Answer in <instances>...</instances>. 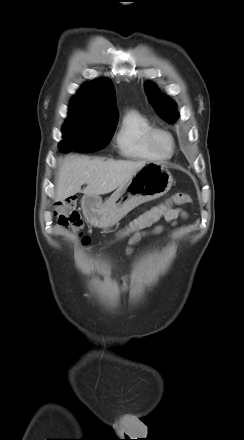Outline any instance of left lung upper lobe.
I'll return each mask as SVG.
<instances>
[{
  "label": "left lung upper lobe",
  "instance_id": "5c2ea615",
  "mask_svg": "<svg viewBox=\"0 0 244 440\" xmlns=\"http://www.w3.org/2000/svg\"><path fill=\"white\" fill-rule=\"evenodd\" d=\"M145 90L149 103L162 118L169 122H174L179 117L174 101L169 96L159 92L153 83L147 82Z\"/></svg>",
  "mask_w": 244,
  "mask_h": 440
}]
</instances>
